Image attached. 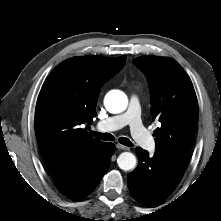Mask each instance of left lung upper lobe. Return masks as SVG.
I'll list each match as a JSON object with an SVG mask.
<instances>
[{
    "label": "left lung upper lobe",
    "instance_id": "left-lung-upper-lobe-1",
    "mask_svg": "<svg viewBox=\"0 0 221 221\" xmlns=\"http://www.w3.org/2000/svg\"><path fill=\"white\" fill-rule=\"evenodd\" d=\"M147 77L151 113L161 126L154 131L156 152L186 163L198 119L192 82L172 58L143 55L133 60Z\"/></svg>",
    "mask_w": 221,
    "mask_h": 221
}]
</instances>
